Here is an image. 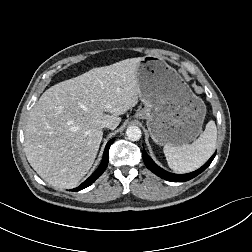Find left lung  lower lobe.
<instances>
[{
  "mask_svg": "<svg viewBox=\"0 0 252 252\" xmlns=\"http://www.w3.org/2000/svg\"><path fill=\"white\" fill-rule=\"evenodd\" d=\"M215 155L216 154H214L201 168H199L198 170L194 172H191L188 174H173V173H169L163 170L157 164H155L154 161L147 155L145 150H143V153H142L143 160L147 168L151 170L153 173H155L157 176L171 182H185L196 177L211 164Z\"/></svg>",
  "mask_w": 252,
  "mask_h": 252,
  "instance_id": "obj_1",
  "label": "left lung lower lobe"
}]
</instances>
